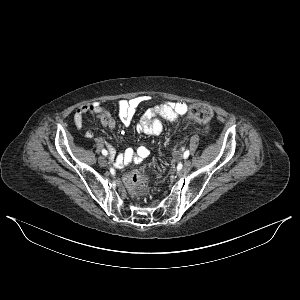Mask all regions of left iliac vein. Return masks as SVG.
Returning a JSON list of instances; mask_svg holds the SVG:
<instances>
[{
    "label": "left iliac vein",
    "instance_id": "obj_1",
    "mask_svg": "<svg viewBox=\"0 0 300 300\" xmlns=\"http://www.w3.org/2000/svg\"><path fill=\"white\" fill-rule=\"evenodd\" d=\"M191 167H192L191 161L189 160L185 161L182 169L179 171V175L180 176L186 175L190 171Z\"/></svg>",
    "mask_w": 300,
    "mask_h": 300
}]
</instances>
